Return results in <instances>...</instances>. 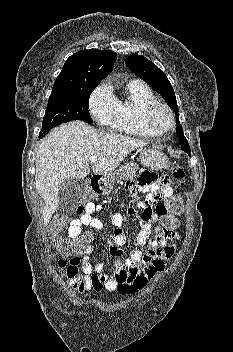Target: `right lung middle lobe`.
<instances>
[{"label": "right lung middle lobe", "mask_w": 233, "mask_h": 352, "mask_svg": "<svg viewBox=\"0 0 233 352\" xmlns=\"http://www.w3.org/2000/svg\"><path fill=\"white\" fill-rule=\"evenodd\" d=\"M96 86L89 85L71 91L52 90L40 133L71 120L92 123L88 105L90 94Z\"/></svg>", "instance_id": "dd1d6c3e"}]
</instances>
